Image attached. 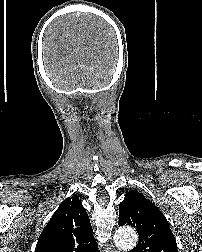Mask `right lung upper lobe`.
Here are the masks:
<instances>
[{
  "instance_id": "obj_1",
  "label": "right lung upper lobe",
  "mask_w": 202,
  "mask_h": 252,
  "mask_svg": "<svg viewBox=\"0 0 202 252\" xmlns=\"http://www.w3.org/2000/svg\"><path fill=\"white\" fill-rule=\"evenodd\" d=\"M35 252H99L78 196L66 198L39 236Z\"/></svg>"
}]
</instances>
